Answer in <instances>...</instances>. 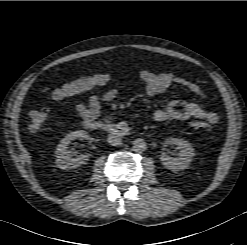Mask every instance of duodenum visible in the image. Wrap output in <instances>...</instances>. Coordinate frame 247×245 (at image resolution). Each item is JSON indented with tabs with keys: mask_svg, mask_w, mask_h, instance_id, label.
Returning a JSON list of instances; mask_svg holds the SVG:
<instances>
[{
	"mask_svg": "<svg viewBox=\"0 0 247 245\" xmlns=\"http://www.w3.org/2000/svg\"><path fill=\"white\" fill-rule=\"evenodd\" d=\"M84 127L93 131H105L115 137H126L130 134V128L126 123H110L102 121H84Z\"/></svg>",
	"mask_w": 247,
	"mask_h": 245,
	"instance_id": "obj_1",
	"label": "duodenum"
}]
</instances>
